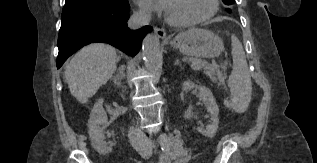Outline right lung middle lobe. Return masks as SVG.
<instances>
[{"instance_id":"1","label":"right lung middle lobe","mask_w":317,"mask_h":163,"mask_svg":"<svg viewBox=\"0 0 317 163\" xmlns=\"http://www.w3.org/2000/svg\"><path fill=\"white\" fill-rule=\"evenodd\" d=\"M128 3V0H66L62 21L73 19L99 9H108Z\"/></svg>"}]
</instances>
